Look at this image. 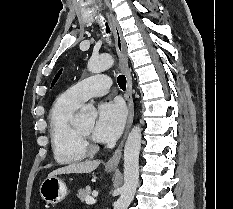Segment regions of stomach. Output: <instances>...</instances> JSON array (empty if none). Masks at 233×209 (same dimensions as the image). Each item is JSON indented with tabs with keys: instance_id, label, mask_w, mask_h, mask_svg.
Instances as JSON below:
<instances>
[{
	"instance_id": "obj_1",
	"label": "stomach",
	"mask_w": 233,
	"mask_h": 209,
	"mask_svg": "<svg viewBox=\"0 0 233 209\" xmlns=\"http://www.w3.org/2000/svg\"><path fill=\"white\" fill-rule=\"evenodd\" d=\"M114 169H107L108 172ZM40 196L48 204L55 205L67 196V186L58 176L47 177L40 185Z\"/></svg>"
}]
</instances>
